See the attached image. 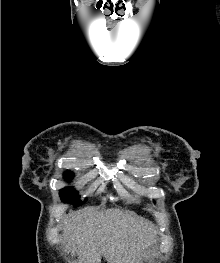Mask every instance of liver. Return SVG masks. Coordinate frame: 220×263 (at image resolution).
Masks as SVG:
<instances>
[{"label": "liver", "mask_w": 220, "mask_h": 263, "mask_svg": "<svg viewBox=\"0 0 220 263\" xmlns=\"http://www.w3.org/2000/svg\"><path fill=\"white\" fill-rule=\"evenodd\" d=\"M63 240L79 263H141L143 250L154 240L153 225L119 209H94L69 214Z\"/></svg>", "instance_id": "obj_1"}]
</instances>
